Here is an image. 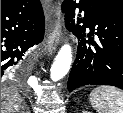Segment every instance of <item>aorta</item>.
Masks as SVG:
<instances>
[{
  "label": "aorta",
  "instance_id": "1",
  "mask_svg": "<svg viewBox=\"0 0 123 113\" xmlns=\"http://www.w3.org/2000/svg\"><path fill=\"white\" fill-rule=\"evenodd\" d=\"M72 63V52L69 44H64L59 50L50 69V78L56 82L62 79L69 71Z\"/></svg>",
  "mask_w": 123,
  "mask_h": 113
}]
</instances>
